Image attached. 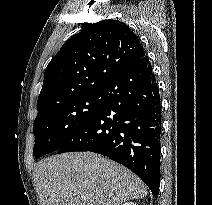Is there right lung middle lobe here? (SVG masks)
<instances>
[{"label": "right lung middle lobe", "instance_id": "1", "mask_svg": "<svg viewBox=\"0 0 212 205\" xmlns=\"http://www.w3.org/2000/svg\"><path fill=\"white\" fill-rule=\"evenodd\" d=\"M101 92L79 96L36 117L33 125L36 158L57 151L94 114Z\"/></svg>", "mask_w": 212, "mask_h": 205}]
</instances>
